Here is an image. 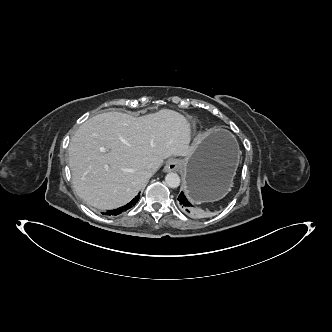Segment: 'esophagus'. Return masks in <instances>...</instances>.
I'll list each match as a JSON object with an SVG mask.
<instances>
[{"label":"esophagus","mask_w":332,"mask_h":332,"mask_svg":"<svg viewBox=\"0 0 332 332\" xmlns=\"http://www.w3.org/2000/svg\"><path fill=\"white\" fill-rule=\"evenodd\" d=\"M180 168V162L177 159H170L164 166L165 172L175 171Z\"/></svg>","instance_id":"esophagus-1"}]
</instances>
